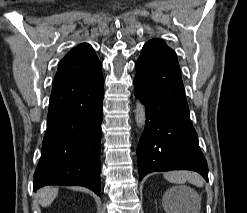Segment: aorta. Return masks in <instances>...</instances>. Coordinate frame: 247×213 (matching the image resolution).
Instances as JSON below:
<instances>
[{
	"label": "aorta",
	"mask_w": 247,
	"mask_h": 213,
	"mask_svg": "<svg viewBox=\"0 0 247 213\" xmlns=\"http://www.w3.org/2000/svg\"><path fill=\"white\" fill-rule=\"evenodd\" d=\"M135 113H136L135 118L137 125L143 129L146 121V113H145V107L139 101L137 102Z\"/></svg>",
	"instance_id": "1"
}]
</instances>
